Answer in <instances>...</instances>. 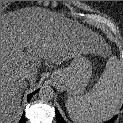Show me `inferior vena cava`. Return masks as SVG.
<instances>
[{
	"label": "inferior vena cava",
	"mask_w": 123,
	"mask_h": 123,
	"mask_svg": "<svg viewBox=\"0 0 123 123\" xmlns=\"http://www.w3.org/2000/svg\"><path fill=\"white\" fill-rule=\"evenodd\" d=\"M20 76L24 80L30 78V74L28 72H26V71H24Z\"/></svg>",
	"instance_id": "obj_1"
}]
</instances>
